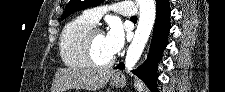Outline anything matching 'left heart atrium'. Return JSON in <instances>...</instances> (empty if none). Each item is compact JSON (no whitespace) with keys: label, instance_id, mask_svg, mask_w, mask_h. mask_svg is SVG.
Instances as JSON below:
<instances>
[{"label":"left heart atrium","instance_id":"1","mask_svg":"<svg viewBox=\"0 0 225 92\" xmlns=\"http://www.w3.org/2000/svg\"><path fill=\"white\" fill-rule=\"evenodd\" d=\"M105 37L109 52L112 56H115L120 52L124 44V33L121 25L118 22H113L108 32L105 34Z\"/></svg>","mask_w":225,"mask_h":92}]
</instances>
